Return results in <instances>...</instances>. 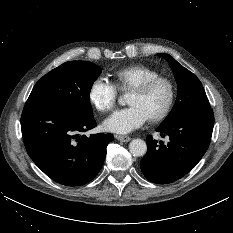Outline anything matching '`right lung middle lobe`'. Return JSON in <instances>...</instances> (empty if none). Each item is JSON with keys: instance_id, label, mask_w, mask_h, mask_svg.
I'll return each instance as SVG.
<instances>
[{"instance_id": "1", "label": "right lung middle lobe", "mask_w": 233, "mask_h": 233, "mask_svg": "<svg viewBox=\"0 0 233 233\" xmlns=\"http://www.w3.org/2000/svg\"><path fill=\"white\" fill-rule=\"evenodd\" d=\"M100 74L101 68L94 63L68 61L36 83L27 103L66 107L85 119H93L89 96Z\"/></svg>"}]
</instances>
